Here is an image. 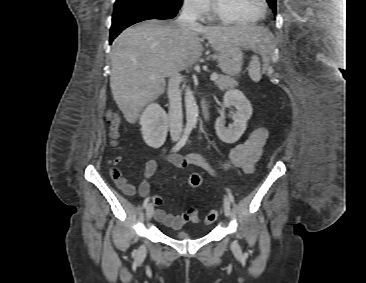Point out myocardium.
Listing matches in <instances>:
<instances>
[{
    "label": "myocardium",
    "instance_id": "myocardium-1",
    "mask_svg": "<svg viewBox=\"0 0 366 283\" xmlns=\"http://www.w3.org/2000/svg\"><path fill=\"white\" fill-rule=\"evenodd\" d=\"M261 4H262L261 14L259 16H257L256 18H254L252 20H248V21L239 20V19L234 18V17L230 16L229 14H227L218 5L217 0H212V9H213L214 16L223 22L231 23V24H235V25H252V24H255V23L261 21L267 15V11H268L267 0H261Z\"/></svg>",
    "mask_w": 366,
    "mask_h": 283
}]
</instances>
